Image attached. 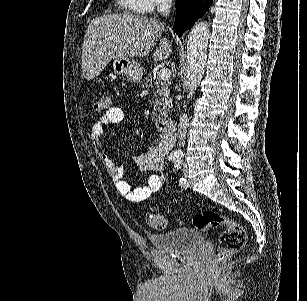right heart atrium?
I'll return each instance as SVG.
<instances>
[{"label":"right heart atrium","mask_w":307,"mask_h":301,"mask_svg":"<svg viewBox=\"0 0 307 301\" xmlns=\"http://www.w3.org/2000/svg\"><path fill=\"white\" fill-rule=\"evenodd\" d=\"M134 11H157L158 7H162V0H136Z\"/></svg>","instance_id":"obj_1"}]
</instances>
